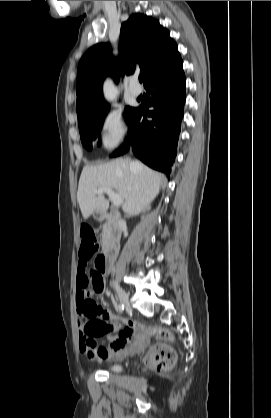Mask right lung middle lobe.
I'll use <instances>...</instances> for the list:
<instances>
[{
	"label": "right lung middle lobe",
	"mask_w": 271,
	"mask_h": 418,
	"mask_svg": "<svg viewBox=\"0 0 271 418\" xmlns=\"http://www.w3.org/2000/svg\"><path fill=\"white\" fill-rule=\"evenodd\" d=\"M109 108L107 103L101 104L89 112L78 116L79 131L83 146L87 150L92 149V141L95 140L101 131L104 117ZM137 108L126 107V121L129 122L136 112ZM100 137L98 145H100Z\"/></svg>",
	"instance_id": "obj_1"
}]
</instances>
